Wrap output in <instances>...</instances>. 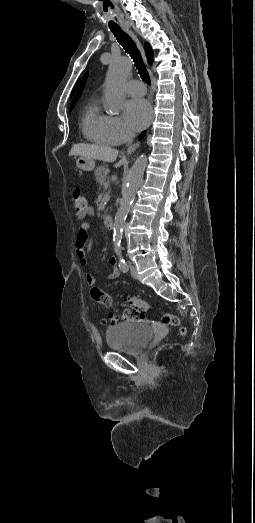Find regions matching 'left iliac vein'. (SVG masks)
<instances>
[{"mask_svg":"<svg viewBox=\"0 0 255 523\" xmlns=\"http://www.w3.org/2000/svg\"><path fill=\"white\" fill-rule=\"evenodd\" d=\"M130 273L132 275L133 278H138V274H137V269L136 267L133 265V264H130Z\"/></svg>","mask_w":255,"mask_h":523,"instance_id":"1","label":"left iliac vein"}]
</instances>
